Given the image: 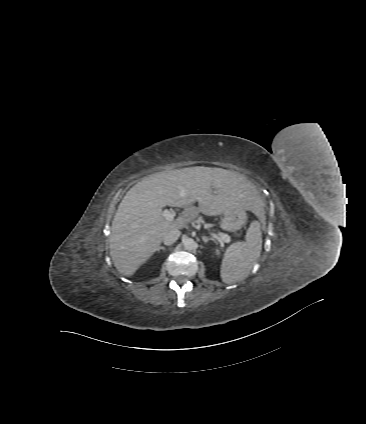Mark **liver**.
I'll return each instance as SVG.
<instances>
[{
    "label": "liver",
    "instance_id": "liver-1",
    "mask_svg": "<svg viewBox=\"0 0 366 424\" xmlns=\"http://www.w3.org/2000/svg\"><path fill=\"white\" fill-rule=\"evenodd\" d=\"M166 205L185 209L168 221L162 216ZM263 207L255 186L238 173L203 166L159 172L135 184L121 201L112 221L110 256L121 274L131 276L168 231L183 229L200 213L218 216L244 209L258 216Z\"/></svg>",
    "mask_w": 366,
    "mask_h": 424
}]
</instances>
